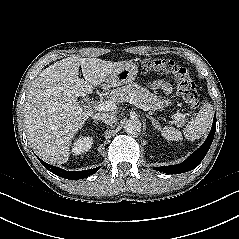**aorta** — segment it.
<instances>
[{"mask_svg": "<svg viewBox=\"0 0 239 239\" xmlns=\"http://www.w3.org/2000/svg\"><path fill=\"white\" fill-rule=\"evenodd\" d=\"M141 122L136 118H130L126 120L124 124V130L128 134H136L141 131Z\"/></svg>", "mask_w": 239, "mask_h": 239, "instance_id": "762f6f07", "label": "aorta"}]
</instances>
